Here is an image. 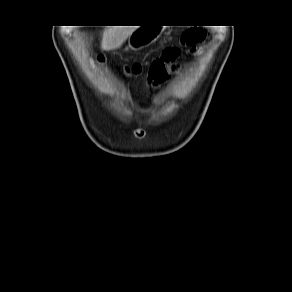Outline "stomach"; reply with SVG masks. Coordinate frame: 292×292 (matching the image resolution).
<instances>
[{
    "label": "stomach",
    "mask_w": 292,
    "mask_h": 292,
    "mask_svg": "<svg viewBox=\"0 0 292 292\" xmlns=\"http://www.w3.org/2000/svg\"><path fill=\"white\" fill-rule=\"evenodd\" d=\"M158 38V29L141 26L129 36V48L138 50L153 43Z\"/></svg>",
    "instance_id": "stomach-1"
}]
</instances>
